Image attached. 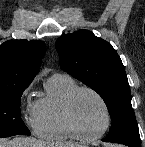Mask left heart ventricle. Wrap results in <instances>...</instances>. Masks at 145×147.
Wrapping results in <instances>:
<instances>
[{"label":"left heart ventricle","mask_w":145,"mask_h":147,"mask_svg":"<svg viewBox=\"0 0 145 147\" xmlns=\"http://www.w3.org/2000/svg\"><path fill=\"white\" fill-rule=\"evenodd\" d=\"M76 117L88 133L102 130L106 122V115L99 100L89 92H81L74 105Z\"/></svg>","instance_id":"left-heart-ventricle-1"}]
</instances>
